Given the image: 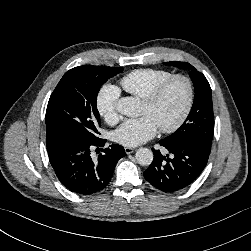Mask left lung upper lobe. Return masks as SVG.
Instances as JSON below:
<instances>
[{
  "label": "left lung upper lobe",
  "mask_w": 251,
  "mask_h": 251,
  "mask_svg": "<svg viewBox=\"0 0 251 251\" xmlns=\"http://www.w3.org/2000/svg\"><path fill=\"white\" fill-rule=\"evenodd\" d=\"M165 64L190 70L189 75L193 81L195 98L191 111L182 126L162 140L169 144L183 140H198L211 147L214 133V114L212 92L207 79L189 63L171 61Z\"/></svg>",
  "instance_id": "left-lung-upper-lobe-1"
}]
</instances>
